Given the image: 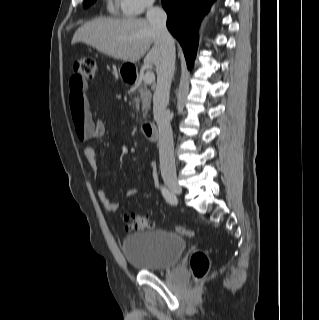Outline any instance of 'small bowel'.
<instances>
[{
    "mask_svg": "<svg viewBox=\"0 0 319 320\" xmlns=\"http://www.w3.org/2000/svg\"><path fill=\"white\" fill-rule=\"evenodd\" d=\"M69 101L72 116L74 113L83 114L89 123L92 125L94 130V137L97 138L101 136L105 132V124L101 120H93L91 117V113L89 110V103L86 97L87 83L85 81H81L79 78L73 76L69 81ZM84 156L89 163L93 180L96 184L101 182V179L98 175V168L101 159L103 158V154L97 153L96 150L92 146H86L84 148ZM150 168L154 172L155 166L153 163H150ZM155 185L159 187V181L156 177H154ZM140 190L138 188H132L126 191L125 196L127 198H132L139 194ZM97 197L103 207L109 212H115L119 209V204L110 199L107 191L104 189H100L97 192Z\"/></svg>",
    "mask_w": 319,
    "mask_h": 320,
    "instance_id": "obj_1",
    "label": "small bowel"
}]
</instances>
